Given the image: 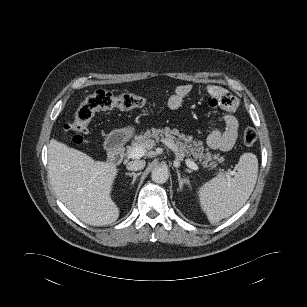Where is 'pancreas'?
Here are the masks:
<instances>
[{
	"instance_id": "cf45deb5",
	"label": "pancreas",
	"mask_w": 307,
	"mask_h": 307,
	"mask_svg": "<svg viewBox=\"0 0 307 307\" xmlns=\"http://www.w3.org/2000/svg\"><path fill=\"white\" fill-rule=\"evenodd\" d=\"M163 142L182 160L184 157H193L196 161L202 162L204 167L215 168L217 162L224 163L225 158L220 154H212L208 148H204L203 142L193 139L192 136L180 134L177 129L165 127L162 129L152 128L139 136H135L131 146L127 147V154L138 146L144 149H152L157 142Z\"/></svg>"
}]
</instances>
